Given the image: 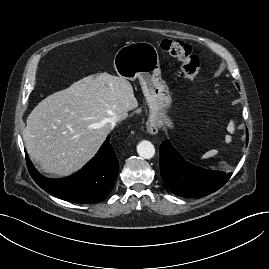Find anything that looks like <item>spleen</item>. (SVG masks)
<instances>
[{"mask_svg": "<svg viewBox=\"0 0 269 269\" xmlns=\"http://www.w3.org/2000/svg\"><path fill=\"white\" fill-rule=\"evenodd\" d=\"M227 131L230 133V134H233L234 131H235V125H234V121L231 120L227 126ZM232 141V136L231 135H226L225 136V142L228 144ZM218 150L216 149H213V150H210L208 152H206L201 158L202 159H208V158H211V157H214L218 154Z\"/></svg>", "mask_w": 269, "mask_h": 269, "instance_id": "3e777b00", "label": "spleen"}]
</instances>
